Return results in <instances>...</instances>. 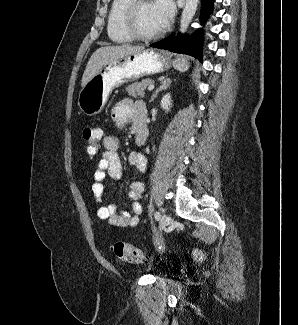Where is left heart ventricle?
I'll list each match as a JSON object with an SVG mask.
<instances>
[{"instance_id": "obj_1", "label": "left heart ventricle", "mask_w": 298, "mask_h": 325, "mask_svg": "<svg viewBox=\"0 0 298 325\" xmlns=\"http://www.w3.org/2000/svg\"><path fill=\"white\" fill-rule=\"evenodd\" d=\"M133 24L141 34H153L163 30L156 1H145L135 10Z\"/></svg>"}]
</instances>
